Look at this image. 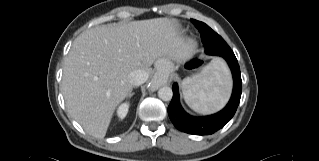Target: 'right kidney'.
<instances>
[{"label": "right kidney", "instance_id": "obj_1", "mask_svg": "<svg viewBox=\"0 0 319 161\" xmlns=\"http://www.w3.org/2000/svg\"><path fill=\"white\" fill-rule=\"evenodd\" d=\"M128 109H129V104L128 103L121 104L118 107V110H117L118 117L123 119L127 115Z\"/></svg>", "mask_w": 319, "mask_h": 161}]
</instances>
